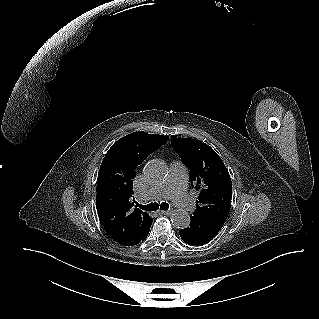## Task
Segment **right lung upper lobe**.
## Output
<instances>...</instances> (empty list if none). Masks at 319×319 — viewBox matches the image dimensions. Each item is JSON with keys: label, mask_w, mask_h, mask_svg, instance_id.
I'll list each match as a JSON object with an SVG mask.
<instances>
[{"label": "right lung upper lobe", "mask_w": 319, "mask_h": 319, "mask_svg": "<svg viewBox=\"0 0 319 319\" xmlns=\"http://www.w3.org/2000/svg\"><path fill=\"white\" fill-rule=\"evenodd\" d=\"M169 137L134 132L119 139L106 153L97 179V211L101 224L118 243L131 246L152 221L149 214L133 208L135 169L164 145Z\"/></svg>", "instance_id": "right-lung-upper-lobe-1"}]
</instances>
